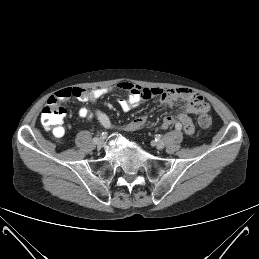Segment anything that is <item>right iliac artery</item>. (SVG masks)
<instances>
[{"label": "right iliac artery", "instance_id": "right-iliac-artery-1", "mask_svg": "<svg viewBox=\"0 0 259 259\" xmlns=\"http://www.w3.org/2000/svg\"><path fill=\"white\" fill-rule=\"evenodd\" d=\"M92 140H93V142H95V143H96V142H98V140H99V139H98V137H96V136H95V137H93V139H92Z\"/></svg>", "mask_w": 259, "mask_h": 259}]
</instances>
